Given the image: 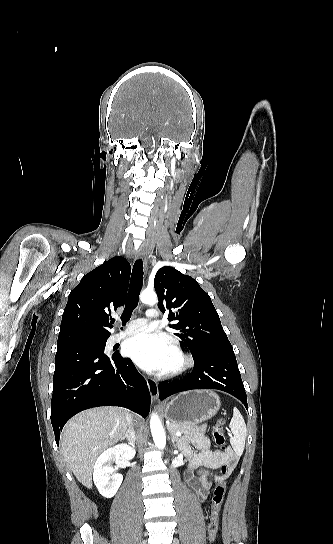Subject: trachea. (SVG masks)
I'll list each match as a JSON object with an SVG mask.
<instances>
[{
  "instance_id": "3493384b",
  "label": "trachea",
  "mask_w": 333,
  "mask_h": 544,
  "mask_svg": "<svg viewBox=\"0 0 333 544\" xmlns=\"http://www.w3.org/2000/svg\"><path fill=\"white\" fill-rule=\"evenodd\" d=\"M143 285V262L141 259L136 260L133 266L131 280H130V286H129V293L127 302L125 305V309L122 313L121 319L123 321V324L129 321L133 310L137 307L138 301H139V294L141 291ZM115 320L112 319V323H114Z\"/></svg>"
}]
</instances>
